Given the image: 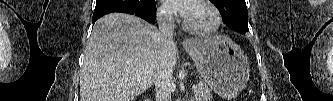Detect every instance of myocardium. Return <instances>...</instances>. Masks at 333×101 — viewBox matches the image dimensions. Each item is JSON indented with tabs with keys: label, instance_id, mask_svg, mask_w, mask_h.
Segmentation results:
<instances>
[{
	"label": "myocardium",
	"instance_id": "1",
	"mask_svg": "<svg viewBox=\"0 0 333 101\" xmlns=\"http://www.w3.org/2000/svg\"><path fill=\"white\" fill-rule=\"evenodd\" d=\"M194 2L202 4L210 9V11L212 12V14L214 16V23L209 28L198 29V28H194L193 26H191L184 17L183 22H182L183 28L192 34L199 35V36L210 35V34L215 33L216 31H218L222 24V17H221V13L218 10V8L212 2H210L208 0H197Z\"/></svg>",
	"mask_w": 333,
	"mask_h": 101
}]
</instances>
